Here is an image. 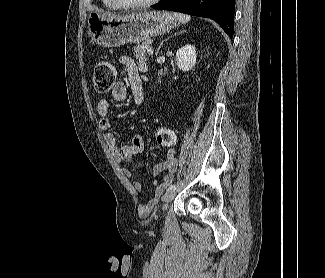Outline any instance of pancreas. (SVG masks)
Here are the masks:
<instances>
[{
	"mask_svg": "<svg viewBox=\"0 0 325 278\" xmlns=\"http://www.w3.org/2000/svg\"><path fill=\"white\" fill-rule=\"evenodd\" d=\"M152 41L151 40H146L141 44H137L136 46H134L133 50H134V56L136 57V59L140 60V61H146L147 58V50L150 48Z\"/></svg>",
	"mask_w": 325,
	"mask_h": 278,
	"instance_id": "obj_1",
	"label": "pancreas"
}]
</instances>
